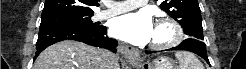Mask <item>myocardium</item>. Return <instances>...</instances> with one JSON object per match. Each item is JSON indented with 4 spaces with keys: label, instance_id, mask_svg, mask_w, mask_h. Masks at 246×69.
I'll return each mask as SVG.
<instances>
[{
    "label": "myocardium",
    "instance_id": "obj_1",
    "mask_svg": "<svg viewBox=\"0 0 246 69\" xmlns=\"http://www.w3.org/2000/svg\"><path fill=\"white\" fill-rule=\"evenodd\" d=\"M156 26H166L171 36L168 40L162 42H151L150 47L156 50L167 49L179 44L183 39V31L180 24L172 17L164 16L157 20Z\"/></svg>",
    "mask_w": 246,
    "mask_h": 69
}]
</instances>
